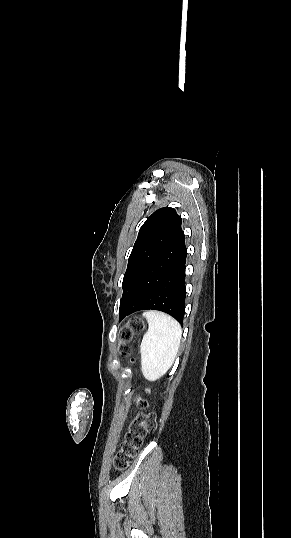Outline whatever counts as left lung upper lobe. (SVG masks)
Here are the masks:
<instances>
[{
    "instance_id": "obj_1",
    "label": "left lung upper lobe",
    "mask_w": 291,
    "mask_h": 538,
    "mask_svg": "<svg viewBox=\"0 0 291 538\" xmlns=\"http://www.w3.org/2000/svg\"><path fill=\"white\" fill-rule=\"evenodd\" d=\"M181 217L171 207L155 211L139 230L123 278V305L152 262L182 233Z\"/></svg>"
}]
</instances>
